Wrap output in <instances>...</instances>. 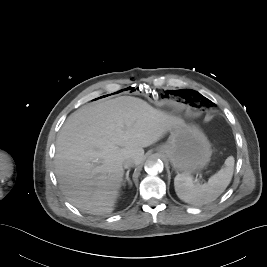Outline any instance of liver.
Segmentation results:
<instances>
[{"instance_id": "obj_1", "label": "liver", "mask_w": 267, "mask_h": 267, "mask_svg": "<svg viewBox=\"0 0 267 267\" xmlns=\"http://www.w3.org/2000/svg\"><path fill=\"white\" fill-rule=\"evenodd\" d=\"M184 124L130 96L81 107L57 138L54 164L63 194L87 213H111L123 181V161L130 158L139 165L144 147Z\"/></svg>"}]
</instances>
